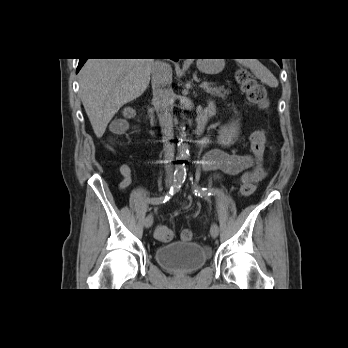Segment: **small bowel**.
<instances>
[{
    "mask_svg": "<svg viewBox=\"0 0 348 348\" xmlns=\"http://www.w3.org/2000/svg\"><path fill=\"white\" fill-rule=\"evenodd\" d=\"M207 106H212L208 103ZM254 164V159L250 155L229 153L221 149H214L209 151L203 161V169L205 171H212L215 173H222L227 175H239V182L241 184L252 183L258 181L263 175L253 176L251 168ZM120 173L122 180L120 188H127L132 182L131 168L128 164L120 166Z\"/></svg>",
    "mask_w": 348,
    "mask_h": 348,
    "instance_id": "obj_1",
    "label": "small bowel"
}]
</instances>
